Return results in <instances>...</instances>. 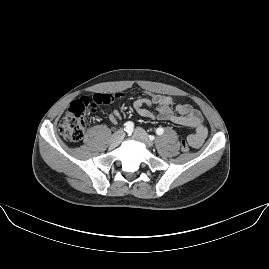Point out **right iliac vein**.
Segmentation results:
<instances>
[{"label": "right iliac vein", "mask_w": 269, "mask_h": 269, "mask_svg": "<svg viewBox=\"0 0 269 269\" xmlns=\"http://www.w3.org/2000/svg\"><path fill=\"white\" fill-rule=\"evenodd\" d=\"M124 135L125 133L123 130H118L115 134H113L112 137L110 138L111 146L112 147L118 146L121 143Z\"/></svg>", "instance_id": "obj_1"}]
</instances>
